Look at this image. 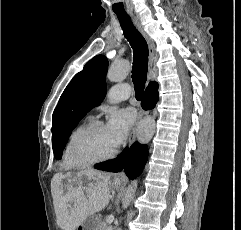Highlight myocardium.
I'll list each match as a JSON object with an SVG mask.
<instances>
[{
    "instance_id": "obj_1",
    "label": "myocardium",
    "mask_w": 241,
    "mask_h": 230,
    "mask_svg": "<svg viewBox=\"0 0 241 230\" xmlns=\"http://www.w3.org/2000/svg\"><path fill=\"white\" fill-rule=\"evenodd\" d=\"M102 126H104V123L102 121H98V120L90 121L77 133V135L73 139L71 148H70V154L73 162L78 167H86V166H91L102 162H106L113 159L117 155L116 149H114L112 152H110L105 156L97 157V158H84L81 155V148L85 140L97 128Z\"/></svg>"
}]
</instances>
